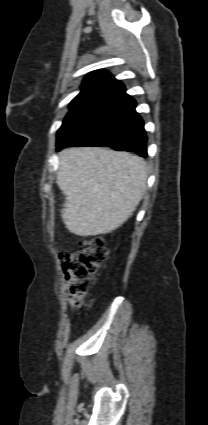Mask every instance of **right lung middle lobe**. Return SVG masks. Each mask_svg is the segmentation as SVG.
<instances>
[{
  "instance_id": "right-lung-middle-lobe-1",
  "label": "right lung middle lobe",
  "mask_w": 208,
  "mask_h": 425,
  "mask_svg": "<svg viewBox=\"0 0 208 425\" xmlns=\"http://www.w3.org/2000/svg\"><path fill=\"white\" fill-rule=\"evenodd\" d=\"M98 93H80L78 94L70 103V111L67 114L63 123L67 122L69 118L81 107H83L87 102L93 100L97 97Z\"/></svg>"
}]
</instances>
